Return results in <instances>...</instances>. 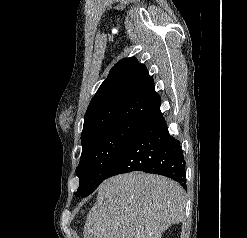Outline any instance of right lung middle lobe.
<instances>
[{
	"label": "right lung middle lobe",
	"mask_w": 247,
	"mask_h": 238,
	"mask_svg": "<svg viewBox=\"0 0 247 238\" xmlns=\"http://www.w3.org/2000/svg\"><path fill=\"white\" fill-rule=\"evenodd\" d=\"M146 121L140 118L120 119L81 137L83 150L76 169L80 185L75 196H88L97 188Z\"/></svg>",
	"instance_id": "right-lung-middle-lobe-1"
}]
</instances>
